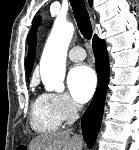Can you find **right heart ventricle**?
<instances>
[{
	"mask_svg": "<svg viewBox=\"0 0 139 150\" xmlns=\"http://www.w3.org/2000/svg\"><path fill=\"white\" fill-rule=\"evenodd\" d=\"M62 121L49 94H40L34 98L31 105L30 124L36 132L55 131L60 127Z\"/></svg>",
	"mask_w": 139,
	"mask_h": 150,
	"instance_id": "obj_1",
	"label": "right heart ventricle"
}]
</instances>
